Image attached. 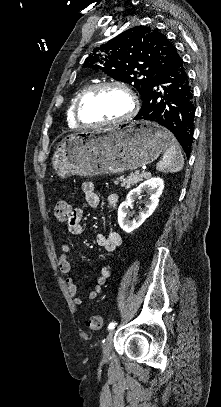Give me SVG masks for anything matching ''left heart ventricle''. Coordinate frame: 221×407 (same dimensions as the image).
Wrapping results in <instances>:
<instances>
[{
  "mask_svg": "<svg viewBox=\"0 0 221 407\" xmlns=\"http://www.w3.org/2000/svg\"><path fill=\"white\" fill-rule=\"evenodd\" d=\"M130 108L131 101L126 92L118 88H106L86 102L83 114L89 122L108 121L126 115Z\"/></svg>",
  "mask_w": 221,
  "mask_h": 407,
  "instance_id": "obj_1",
  "label": "left heart ventricle"
}]
</instances>
